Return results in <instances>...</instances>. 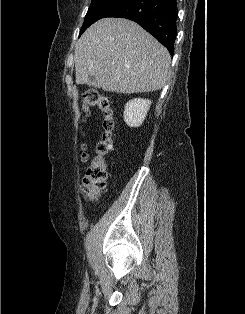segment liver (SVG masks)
Returning a JSON list of instances; mask_svg holds the SVG:
<instances>
[{"mask_svg":"<svg viewBox=\"0 0 245 314\" xmlns=\"http://www.w3.org/2000/svg\"><path fill=\"white\" fill-rule=\"evenodd\" d=\"M74 60L77 84L126 94L164 87L171 63L163 45L123 18H104L91 25L77 41Z\"/></svg>","mask_w":245,"mask_h":314,"instance_id":"6515ba94","label":"liver"}]
</instances>
